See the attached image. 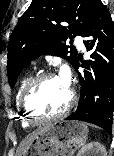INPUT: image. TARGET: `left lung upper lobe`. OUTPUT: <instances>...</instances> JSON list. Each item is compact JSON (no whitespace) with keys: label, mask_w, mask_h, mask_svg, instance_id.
I'll list each match as a JSON object with an SVG mask.
<instances>
[{"label":"left lung upper lobe","mask_w":114,"mask_h":156,"mask_svg":"<svg viewBox=\"0 0 114 156\" xmlns=\"http://www.w3.org/2000/svg\"><path fill=\"white\" fill-rule=\"evenodd\" d=\"M99 1L33 0L10 39L7 63L10 86L15 85L26 64L41 55L66 58L75 67L77 51L65 42L72 35H83ZM63 22L69 26H63Z\"/></svg>","instance_id":"obj_1"}]
</instances>
